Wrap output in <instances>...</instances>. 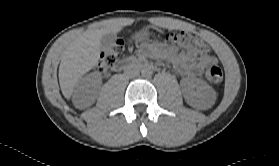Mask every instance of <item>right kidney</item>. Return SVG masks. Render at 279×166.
Wrapping results in <instances>:
<instances>
[{"label":"right kidney","mask_w":279,"mask_h":166,"mask_svg":"<svg viewBox=\"0 0 279 166\" xmlns=\"http://www.w3.org/2000/svg\"><path fill=\"white\" fill-rule=\"evenodd\" d=\"M101 86V78L97 75L82 78L76 85L74 90V99L84 107L88 102L92 101L97 89Z\"/></svg>","instance_id":"1"}]
</instances>
